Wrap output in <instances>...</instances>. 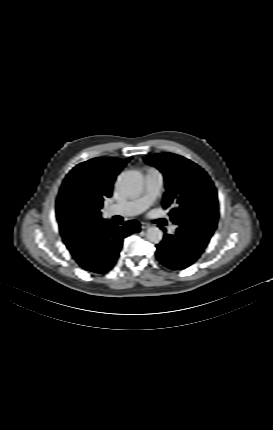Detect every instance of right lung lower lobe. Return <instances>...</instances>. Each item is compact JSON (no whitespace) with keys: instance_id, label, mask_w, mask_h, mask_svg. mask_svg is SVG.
Instances as JSON below:
<instances>
[{"instance_id":"right-lung-lower-lobe-1","label":"right lung lower lobe","mask_w":273,"mask_h":430,"mask_svg":"<svg viewBox=\"0 0 273 430\" xmlns=\"http://www.w3.org/2000/svg\"><path fill=\"white\" fill-rule=\"evenodd\" d=\"M139 231L140 224L134 220L121 227L104 220L92 227V232L85 241V248L73 257L83 269L103 274L114 266L123 239Z\"/></svg>"}]
</instances>
